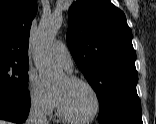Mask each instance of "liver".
I'll list each match as a JSON object with an SVG mask.
<instances>
[{
  "instance_id": "obj_1",
  "label": "liver",
  "mask_w": 156,
  "mask_h": 124,
  "mask_svg": "<svg viewBox=\"0 0 156 124\" xmlns=\"http://www.w3.org/2000/svg\"><path fill=\"white\" fill-rule=\"evenodd\" d=\"M0 124H10V123H7L6 121L0 120Z\"/></svg>"
}]
</instances>
